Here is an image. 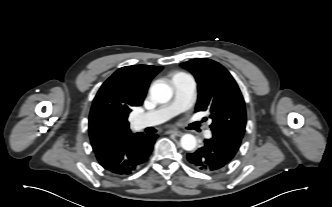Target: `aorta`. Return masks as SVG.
I'll use <instances>...</instances> for the list:
<instances>
[{
	"label": "aorta",
	"mask_w": 332,
	"mask_h": 207,
	"mask_svg": "<svg viewBox=\"0 0 332 207\" xmlns=\"http://www.w3.org/2000/svg\"><path fill=\"white\" fill-rule=\"evenodd\" d=\"M171 87L164 83H155L150 88L152 100L158 103H166L172 98ZM181 147L186 151H192L197 145L196 138L191 134H185L180 140Z\"/></svg>",
	"instance_id": "aorta-1"
}]
</instances>
